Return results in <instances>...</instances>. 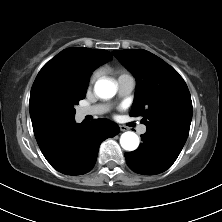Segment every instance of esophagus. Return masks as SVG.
<instances>
[{
  "mask_svg": "<svg viewBox=\"0 0 222 222\" xmlns=\"http://www.w3.org/2000/svg\"><path fill=\"white\" fill-rule=\"evenodd\" d=\"M119 128H120L121 131H126L127 130V127H125L123 125H120Z\"/></svg>",
  "mask_w": 222,
  "mask_h": 222,
  "instance_id": "obj_1",
  "label": "esophagus"
}]
</instances>
